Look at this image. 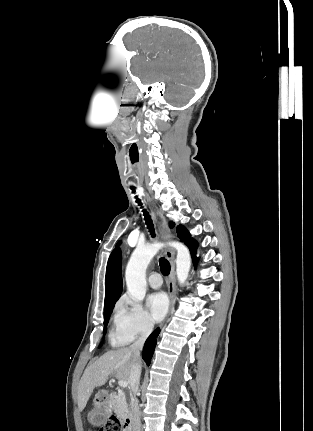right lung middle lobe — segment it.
<instances>
[{"label":"right lung middle lobe","mask_w":313,"mask_h":431,"mask_svg":"<svg viewBox=\"0 0 313 431\" xmlns=\"http://www.w3.org/2000/svg\"><path fill=\"white\" fill-rule=\"evenodd\" d=\"M115 304L104 308V333L106 332V326L109 321L110 314Z\"/></svg>","instance_id":"1"}]
</instances>
